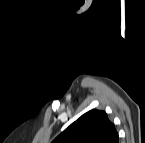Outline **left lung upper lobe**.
Segmentation results:
<instances>
[{
  "instance_id": "obj_1",
  "label": "left lung upper lobe",
  "mask_w": 145,
  "mask_h": 143,
  "mask_svg": "<svg viewBox=\"0 0 145 143\" xmlns=\"http://www.w3.org/2000/svg\"><path fill=\"white\" fill-rule=\"evenodd\" d=\"M53 143H118V133L104 111L93 109L79 117Z\"/></svg>"
}]
</instances>
